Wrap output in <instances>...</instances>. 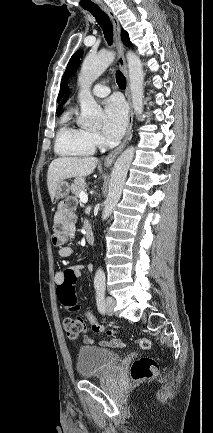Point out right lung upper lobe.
<instances>
[{
  "label": "right lung upper lobe",
  "instance_id": "obj_1",
  "mask_svg": "<svg viewBox=\"0 0 213 433\" xmlns=\"http://www.w3.org/2000/svg\"><path fill=\"white\" fill-rule=\"evenodd\" d=\"M68 94H69V92L67 91L66 96H65L64 100H63L62 103H61V106H62V105L65 103V101L67 100V98H68ZM57 112H58V110H57Z\"/></svg>",
  "mask_w": 213,
  "mask_h": 433
}]
</instances>
